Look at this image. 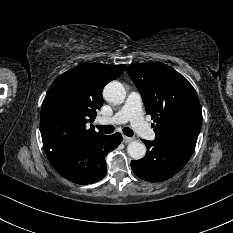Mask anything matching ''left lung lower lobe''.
Returning <instances> with one entry per match:
<instances>
[{"label": "left lung lower lobe", "instance_id": "obj_1", "mask_svg": "<svg viewBox=\"0 0 233 233\" xmlns=\"http://www.w3.org/2000/svg\"><path fill=\"white\" fill-rule=\"evenodd\" d=\"M146 156L132 160L131 167L139 178L162 182L178 173L194 152L195 144L186 141H146Z\"/></svg>", "mask_w": 233, "mask_h": 233}]
</instances>
